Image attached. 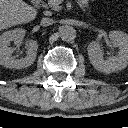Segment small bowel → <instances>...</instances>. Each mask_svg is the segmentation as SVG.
Here are the masks:
<instances>
[{
	"label": "small bowel",
	"instance_id": "small-bowel-1",
	"mask_svg": "<svg viewBox=\"0 0 128 128\" xmlns=\"http://www.w3.org/2000/svg\"><path fill=\"white\" fill-rule=\"evenodd\" d=\"M88 1H90V0H80L81 4H82L83 6H85V5L88 3ZM92 1H93V0H92Z\"/></svg>",
	"mask_w": 128,
	"mask_h": 128
}]
</instances>
